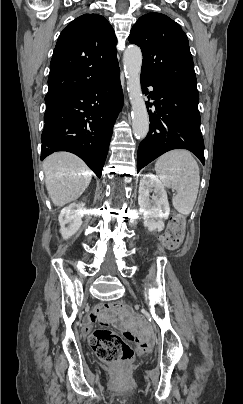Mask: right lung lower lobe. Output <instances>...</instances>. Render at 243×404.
<instances>
[{
	"instance_id": "obj_1",
	"label": "right lung lower lobe",
	"mask_w": 243,
	"mask_h": 404,
	"mask_svg": "<svg viewBox=\"0 0 243 404\" xmlns=\"http://www.w3.org/2000/svg\"><path fill=\"white\" fill-rule=\"evenodd\" d=\"M122 106L120 70L82 90L46 100L41 160L55 151L72 152L100 178Z\"/></svg>"
}]
</instances>
